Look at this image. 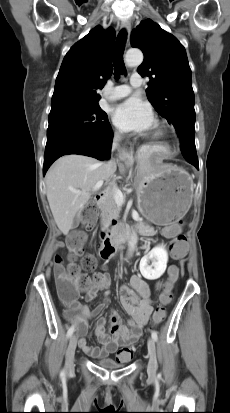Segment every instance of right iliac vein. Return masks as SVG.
<instances>
[{
  "instance_id": "obj_1",
  "label": "right iliac vein",
  "mask_w": 230,
  "mask_h": 413,
  "mask_svg": "<svg viewBox=\"0 0 230 413\" xmlns=\"http://www.w3.org/2000/svg\"><path fill=\"white\" fill-rule=\"evenodd\" d=\"M77 346V336L76 334L71 335L69 340V345L66 353V370L71 371L74 368V355Z\"/></svg>"
}]
</instances>
